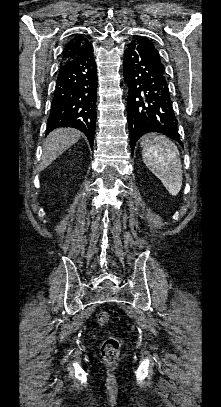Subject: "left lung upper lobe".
I'll use <instances>...</instances> for the list:
<instances>
[{"mask_svg":"<svg viewBox=\"0 0 221 407\" xmlns=\"http://www.w3.org/2000/svg\"><path fill=\"white\" fill-rule=\"evenodd\" d=\"M139 40H142L143 42H146L147 44H149V45L151 46V48H152L154 57H155L156 59H158L159 61H161L158 50L154 47V45H153L150 41H148V40L145 39V38H140Z\"/></svg>","mask_w":221,"mask_h":407,"instance_id":"1","label":"left lung upper lobe"}]
</instances>
